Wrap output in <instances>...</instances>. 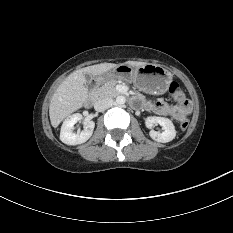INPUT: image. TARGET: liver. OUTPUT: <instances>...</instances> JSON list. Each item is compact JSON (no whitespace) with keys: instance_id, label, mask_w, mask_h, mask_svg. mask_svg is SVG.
Here are the masks:
<instances>
[{"instance_id":"6515ba94","label":"liver","mask_w":233,"mask_h":233,"mask_svg":"<svg viewBox=\"0 0 233 233\" xmlns=\"http://www.w3.org/2000/svg\"><path fill=\"white\" fill-rule=\"evenodd\" d=\"M133 67L143 66L145 62H128ZM117 64L101 63L88 66L71 73L56 89L49 105L51 125L56 128L68 115L80 109L88 97L85 74L97 76Z\"/></svg>"}]
</instances>
